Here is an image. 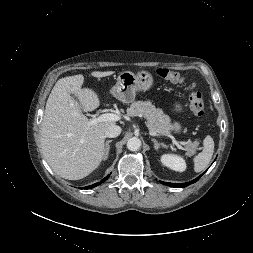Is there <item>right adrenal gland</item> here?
Listing matches in <instances>:
<instances>
[{"mask_svg": "<svg viewBox=\"0 0 253 253\" xmlns=\"http://www.w3.org/2000/svg\"><path fill=\"white\" fill-rule=\"evenodd\" d=\"M112 142V140H107L105 143V149H104V160H106L108 158L109 155V150H110V143Z\"/></svg>", "mask_w": 253, "mask_h": 253, "instance_id": "right-adrenal-gland-1", "label": "right adrenal gland"}]
</instances>
